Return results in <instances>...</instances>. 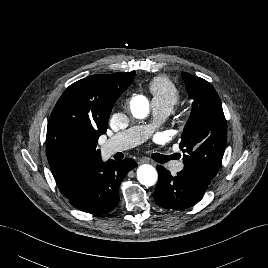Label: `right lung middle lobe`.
<instances>
[{"instance_id":"obj_1","label":"right lung middle lobe","mask_w":268,"mask_h":268,"mask_svg":"<svg viewBox=\"0 0 268 268\" xmlns=\"http://www.w3.org/2000/svg\"><path fill=\"white\" fill-rule=\"evenodd\" d=\"M96 147L79 138L59 135L46 145L48 162L60 169L76 168L91 159Z\"/></svg>"}]
</instances>
